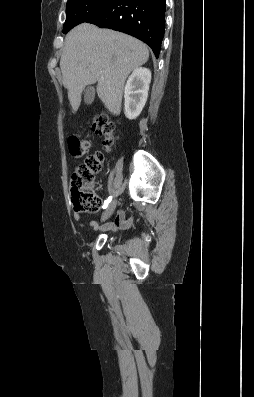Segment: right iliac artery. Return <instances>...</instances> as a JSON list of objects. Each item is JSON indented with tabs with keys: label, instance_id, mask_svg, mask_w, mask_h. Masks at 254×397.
Listing matches in <instances>:
<instances>
[{
	"label": "right iliac artery",
	"instance_id": "right-iliac-artery-1",
	"mask_svg": "<svg viewBox=\"0 0 254 397\" xmlns=\"http://www.w3.org/2000/svg\"><path fill=\"white\" fill-rule=\"evenodd\" d=\"M111 200H112V197H111V196L108 197V198L105 200L104 205H103V208H104V209L107 208V206H108V204L111 202Z\"/></svg>",
	"mask_w": 254,
	"mask_h": 397
}]
</instances>
